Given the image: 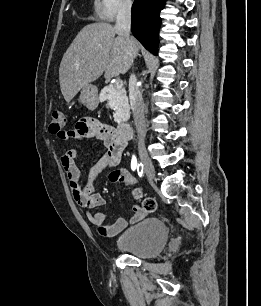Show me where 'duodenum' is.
<instances>
[{
	"instance_id": "410a0bca",
	"label": "duodenum",
	"mask_w": 261,
	"mask_h": 306,
	"mask_svg": "<svg viewBox=\"0 0 261 306\" xmlns=\"http://www.w3.org/2000/svg\"><path fill=\"white\" fill-rule=\"evenodd\" d=\"M118 134L124 139H131L133 136V127L129 121H123L118 124Z\"/></svg>"
}]
</instances>
